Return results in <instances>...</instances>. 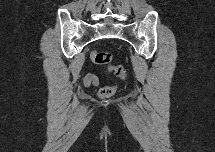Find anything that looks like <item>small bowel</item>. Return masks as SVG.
<instances>
[{
    "instance_id": "1",
    "label": "small bowel",
    "mask_w": 215,
    "mask_h": 152,
    "mask_svg": "<svg viewBox=\"0 0 215 152\" xmlns=\"http://www.w3.org/2000/svg\"><path fill=\"white\" fill-rule=\"evenodd\" d=\"M84 83L86 86L90 85L97 86L99 85V80L95 74H88L84 79Z\"/></svg>"
}]
</instances>
